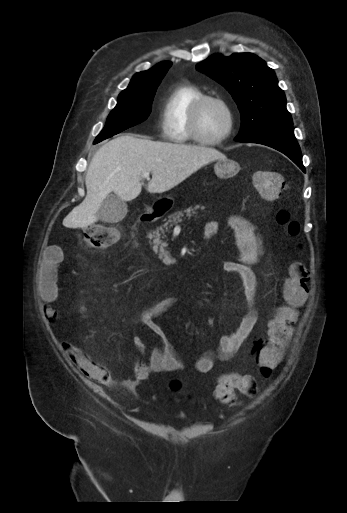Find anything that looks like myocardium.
I'll use <instances>...</instances> for the list:
<instances>
[{
	"mask_svg": "<svg viewBox=\"0 0 347 513\" xmlns=\"http://www.w3.org/2000/svg\"><path fill=\"white\" fill-rule=\"evenodd\" d=\"M208 102H216V103L220 104L225 109L227 116H228V126H227L226 131L221 136H219L217 138H213V139L203 137L199 130L200 114H201V111H202L204 105ZM234 127H235L234 110H233L231 104L226 99H224L222 97L204 94L195 102V104L191 108V111L189 114L188 128H189V132H190L192 139L199 144L206 145V146H215V145L221 144L222 142H224L231 136V134L234 131Z\"/></svg>",
	"mask_w": 347,
	"mask_h": 513,
	"instance_id": "myocardium-1",
	"label": "myocardium"
}]
</instances>
